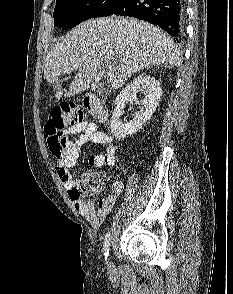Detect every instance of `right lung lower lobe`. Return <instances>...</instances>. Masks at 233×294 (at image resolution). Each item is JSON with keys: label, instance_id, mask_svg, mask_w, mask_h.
Returning a JSON list of instances; mask_svg holds the SVG:
<instances>
[{"label": "right lung lower lobe", "instance_id": "right-lung-lower-lobe-1", "mask_svg": "<svg viewBox=\"0 0 233 294\" xmlns=\"http://www.w3.org/2000/svg\"><path fill=\"white\" fill-rule=\"evenodd\" d=\"M183 13V0H123L110 15L131 16L158 25L180 41Z\"/></svg>", "mask_w": 233, "mask_h": 294}]
</instances>
